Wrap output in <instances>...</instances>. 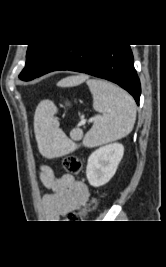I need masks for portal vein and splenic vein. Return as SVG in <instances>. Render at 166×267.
Instances as JSON below:
<instances>
[{"mask_svg":"<svg viewBox=\"0 0 166 267\" xmlns=\"http://www.w3.org/2000/svg\"><path fill=\"white\" fill-rule=\"evenodd\" d=\"M93 120L91 119V120H89V122H92Z\"/></svg>","mask_w":166,"mask_h":267,"instance_id":"18ae733b","label":"portal vein and splenic vein"}]
</instances>
